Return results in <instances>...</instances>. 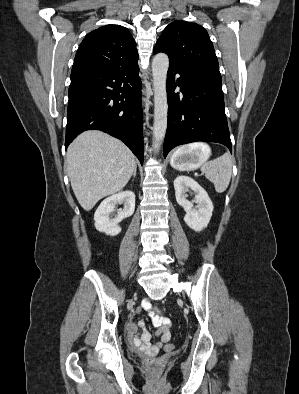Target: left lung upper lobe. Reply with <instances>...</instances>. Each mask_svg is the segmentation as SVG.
<instances>
[{
	"mask_svg": "<svg viewBox=\"0 0 299 394\" xmlns=\"http://www.w3.org/2000/svg\"><path fill=\"white\" fill-rule=\"evenodd\" d=\"M169 56L170 66L179 69L209 68L219 70L218 60L207 31L196 23L175 21L162 32L154 53Z\"/></svg>",
	"mask_w": 299,
	"mask_h": 394,
	"instance_id": "obj_1",
	"label": "left lung upper lobe"
}]
</instances>
